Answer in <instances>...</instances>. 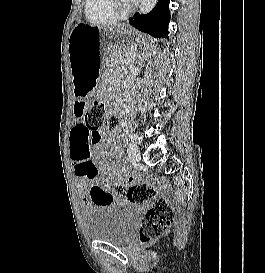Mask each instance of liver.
Here are the masks:
<instances>
[{
  "mask_svg": "<svg viewBox=\"0 0 265 273\" xmlns=\"http://www.w3.org/2000/svg\"><path fill=\"white\" fill-rule=\"evenodd\" d=\"M123 27H125V26H124V25H118V26H116L114 29H119V28H123ZM105 29L112 30V29H110V28H105Z\"/></svg>",
  "mask_w": 265,
  "mask_h": 273,
  "instance_id": "liver-1",
  "label": "liver"
}]
</instances>
